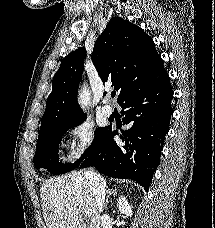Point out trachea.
Wrapping results in <instances>:
<instances>
[{
    "mask_svg": "<svg viewBox=\"0 0 215 228\" xmlns=\"http://www.w3.org/2000/svg\"><path fill=\"white\" fill-rule=\"evenodd\" d=\"M116 95V92H111V97L114 98Z\"/></svg>",
    "mask_w": 215,
    "mask_h": 228,
    "instance_id": "obj_1",
    "label": "trachea"
}]
</instances>
